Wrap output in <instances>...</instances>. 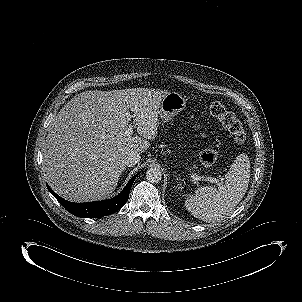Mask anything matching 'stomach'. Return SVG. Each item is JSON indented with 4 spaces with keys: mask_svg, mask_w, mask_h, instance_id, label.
I'll use <instances>...</instances> for the list:
<instances>
[{
    "mask_svg": "<svg viewBox=\"0 0 302 302\" xmlns=\"http://www.w3.org/2000/svg\"><path fill=\"white\" fill-rule=\"evenodd\" d=\"M186 107V99L178 92H168L160 102L159 116L164 121L171 120Z\"/></svg>",
    "mask_w": 302,
    "mask_h": 302,
    "instance_id": "0dacf381",
    "label": "stomach"
}]
</instances>
